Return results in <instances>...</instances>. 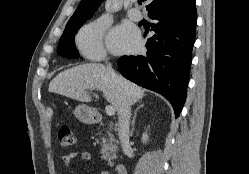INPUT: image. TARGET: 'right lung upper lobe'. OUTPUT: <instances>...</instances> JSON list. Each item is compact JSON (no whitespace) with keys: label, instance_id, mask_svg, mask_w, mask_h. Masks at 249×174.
I'll return each instance as SVG.
<instances>
[{"label":"right lung upper lobe","instance_id":"cb5924a9","mask_svg":"<svg viewBox=\"0 0 249 174\" xmlns=\"http://www.w3.org/2000/svg\"><path fill=\"white\" fill-rule=\"evenodd\" d=\"M103 0H81L79 7L74 12L68 23L72 22H79V21H86L88 18H90L94 11L97 10L99 4ZM148 1L149 4L146 6V10L148 11V14L153 12L154 10L170 6L175 3L181 2L183 0H144Z\"/></svg>","mask_w":249,"mask_h":174}]
</instances>
